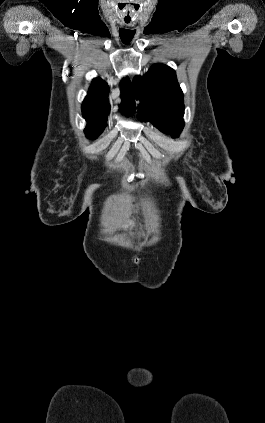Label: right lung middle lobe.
Segmentation results:
<instances>
[{"instance_id":"obj_1","label":"right lung middle lobe","mask_w":265,"mask_h":423,"mask_svg":"<svg viewBox=\"0 0 265 423\" xmlns=\"http://www.w3.org/2000/svg\"><path fill=\"white\" fill-rule=\"evenodd\" d=\"M86 121L88 122L84 130L86 137L89 139L97 138L102 133L105 127V124L95 120H90V119H86Z\"/></svg>"}]
</instances>
